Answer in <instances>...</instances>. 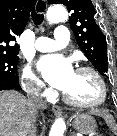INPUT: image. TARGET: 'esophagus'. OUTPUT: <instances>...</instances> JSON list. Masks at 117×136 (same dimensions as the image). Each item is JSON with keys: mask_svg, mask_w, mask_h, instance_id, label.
<instances>
[{"mask_svg": "<svg viewBox=\"0 0 117 136\" xmlns=\"http://www.w3.org/2000/svg\"><path fill=\"white\" fill-rule=\"evenodd\" d=\"M37 5H39L40 12L37 9ZM36 11L38 13H45L47 11V2L45 0H38L36 3ZM52 111L57 116L62 114V109L58 106H53Z\"/></svg>", "mask_w": 117, "mask_h": 136, "instance_id": "34e87169", "label": "esophagus"}]
</instances>
